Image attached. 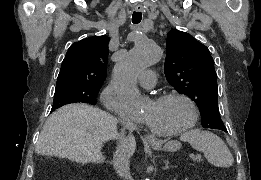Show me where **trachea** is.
<instances>
[{
	"instance_id": "trachea-1",
	"label": "trachea",
	"mask_w": 261,
	"mask_h": 180,
	"mask_svg": "<svg viewBox=\"0 0 261 180\" xmlns=\"http://www.w3.org/2000/svg\"><path fill=\"white\" fill-rule=\"evenodd\" d=\"M141 19H142L141 11L133 12L132 22H133L135 25H137L138 23H140V22H141Z\"/></svg>"
}]
</instances>
